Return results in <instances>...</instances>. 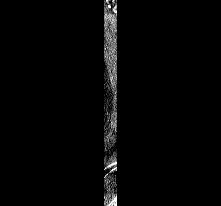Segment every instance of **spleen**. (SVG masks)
Instances as JSON below:
<instances>
[{
    "label": "spleen",
    "instance_id": "3e777b00",
    "mask_svg": "<svg viewBox=\"0 0 221 206\" xmlns=\"http://www.w3.org/2000/svg\"><path fill=\"white\" fill-rule=\"evenodd\" d=\"M107 206H117V204H116V197L113 198L112 201H110Z\"/></svg>",
    "mask_w": 221,
    "mask_h": 206
}]
</instances>
